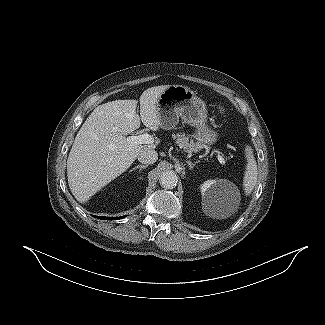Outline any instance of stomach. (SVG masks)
<instances>
[{
	"label": "stomach",
	"instance_id": "obj_1",
	"mask_svg": "<svg viewBox=\"0 0 325 325\" xmlns=\"http://www.w3.org/2000/svg\"><path fill=\"white\" fill-rule=\"evenodd\" d=\"M160 127L175 128L179 118L195 127L194 138L202 145H213L218 140V132L207 125L206 103L194 91L183 85H170L157 99Z\"/></svg>",
	"mask_w": 325,
	"mask_h": 325
}]
</instances>
